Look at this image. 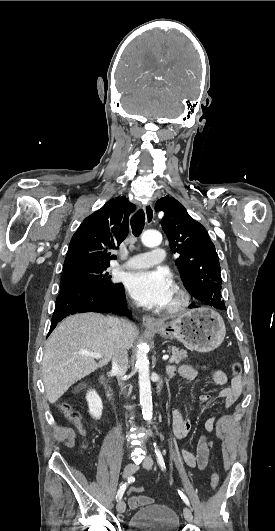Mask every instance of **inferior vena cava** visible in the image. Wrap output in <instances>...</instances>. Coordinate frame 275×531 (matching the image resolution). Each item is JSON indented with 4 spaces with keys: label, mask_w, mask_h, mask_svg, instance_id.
I'll return each instance as SVG.
<instances>
[{
    "label": "inferior vena cava",
    "mask_w": 275,
    "mask_h": 531,
    "mask_svg": "<svg viewBox=\"0 0 275 531\" xmlns=\"http://www.w3.org/2000/svg\"><path fill=\"white\" fill-rule=\"evenodd\" d=\"M106 323L110 325L111 333H112V345H113L112 371H114L119 381V385L122 391H124L126 387H124V383H122V381H123V377H125L127 373V369L129 365H128V353L125 347V343L123 341L122 323L120 319H114V317H109ZM131 389L132 387L130 385L129 391H131Z\"/></svg>",
    "instance_id": "obj_1"
}]
</instances>
